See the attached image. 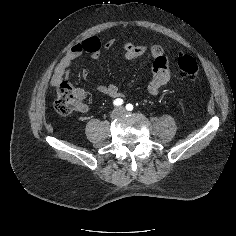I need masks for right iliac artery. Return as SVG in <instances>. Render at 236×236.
<instances>
[{"label": "right iliac artery", "instance_id": "1", "mask_svg": "<svg viewBox=\"0 0 236 236\" xmlns=\"http://www.w3.org/2000/svg\"><path fill=\"white\" fill-rule=\"evenodd\" d=\"M113 104H114L115 106H121V105L123 104V100L120 99V98L115 99L114 102H113Z\"/></svg>", "mask_w": 236, "mask_h": 236}]
</instances>
